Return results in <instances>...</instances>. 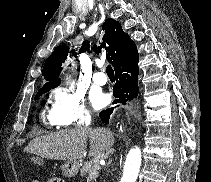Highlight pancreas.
<instances>
[{
    "instance_id": "pancreas-1",
    "label": "pancreas",
    "mask_w": 211,
    "mask_h": 182,
    "mask_svg": "<svg viewBox=\"0 0 211 182\" xmlns=\"http://www.w3.org/2000/svg\"><path fill=\"white\" fill-rule=\"evenodd\" d=\"M104 155L99 154L89 159L81 168L80 175L85 176L87 182H91L98 177V171L100 170L99 161L103 159Z\"/></svg>"
}]
</instances>
